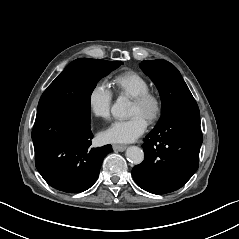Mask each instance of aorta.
I'll return each mask as SVG.
<instances>
[{"mask_svg":"<svg viewBox=\"0 0 239 239\" xmlns=\"http://www.w3.org/2000/svg\"><path fill=\"white\" fill-rule=\"evenodd\" d=\"M133 103L126 96H119L111 106V114L117 119H128L131 115ZM127 159L135 165L141 164L144 160V152L141 148L132 146L126 151Z\"/></svg>","mask_w":239,"mask_h":239,"instance_id":"obj_1","label":"aorta"}]
</instances>
